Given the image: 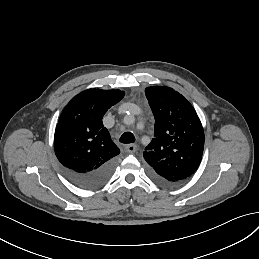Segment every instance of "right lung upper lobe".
<instances>
[{
  "label": "right lung upper lobe",
  "instance_id": "cb5924a9",
  "mask_svg": "<svg viewBox=\"0 0 259 259\" xmlns=\"http://www.w3.org/2000/svg\"><path fill=\"white\" fill-rule=\"evenodd\" d=\"M123 96L120 90L88 89L67 104L54 136L55 154L65 168L91 171L120 153L102 118Z\"/></svg>",
  "mask_w": 259,
  "mask_h": 259
}]
</instances>
